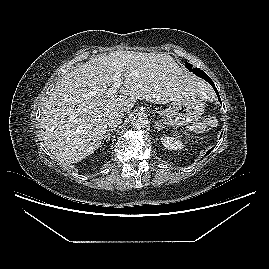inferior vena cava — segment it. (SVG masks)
Instances as JSON below:
<instances>
[{"instance_id": "obj_1", "label": "inferior vena cava", "mask_w": 269, "mask_h": 269, "mask_svg": "<svg viewBox=\"0 0 269 269\" xmlns=\"http://www.w3.org/2000/svg\"><path fill=\"white\" fill-rule=\"evenodd\" d=\"M124 113L121 110H115L110 112L106 117V123L109 127H117L121 124Z\"/></svg>"}]
</instances>
